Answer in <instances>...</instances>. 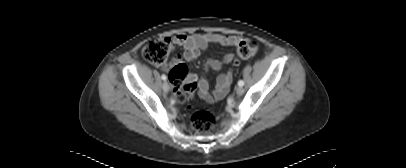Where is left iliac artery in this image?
<instances>
[{
	"instance_id": "1",
	"label": "left iliac artery",
	"mask_w": 406,
	"mask_h": 168,
	"mask_svg": "<svg viewBox=\"0 0 406 168\" xmlns=\"http://www.w3.org/2000/svg\"><path fill=\"white\" fill-rule=\"evenodd\" d=\"M238 85L241 86V87L244 86V81L240 80V81L238 82Z\"/></svg>"
}]
</instances>
